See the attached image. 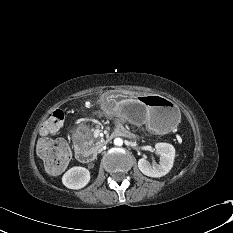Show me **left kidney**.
Returning a JSON list of instances; mask_svg holds the SVG:
<instances>
[{
  "label": "left kidney",
  "mask_w": 233,
  "mask_h": 233,
  "mask_svg": "<svg viewBox=\"0 0 233 233\" xmlns=\"http://www.w3.org/2000/svg\"><path fill=\"white\" fill-rule=\"evenodd\" d=\"M155 149L160 156L159 164L150 163L145 158H141L138 161V168L144 175L158 178L166 175L173 167L175 148L168 143H157Z\"/></svg>",
  "instance_id": "obj_1"
}]
</instances>
